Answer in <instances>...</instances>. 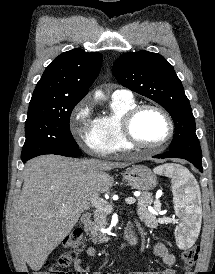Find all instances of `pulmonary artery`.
I'll list each match as a JSON object with an SVG mask.
<instances>
[{
	"label": "pulmonary artery",
	"mask_w": 215,
	"mask_h": 274,
	"mask_svg": "<svg viewBox=\"0 0 215 274\" xmlns=\"http://www.w3.org/2000/svg\"><path fill=\"white\" fill-rule=\"evenodd\" d=\"M112 96L119 98H130L132 97V93L125 89H117L113 92Z\"/></svg>",
	"instance_id": "1"
}]
</instances>
